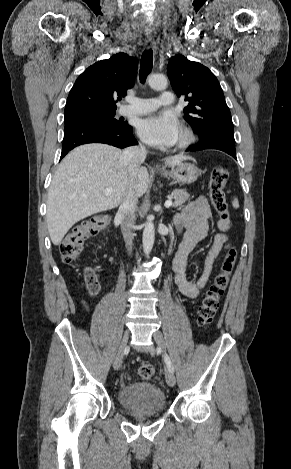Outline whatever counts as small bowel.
Listing matches in <instances>:
<instances>
[{
  "instance_id": "small-bowel-1",
  "label": "small bowel",
  "mask_w": 291,
  "mask_h": 469,
  "mask_svg": "<svg viewBox=\"0 0 291 469\" xmlns=\"http://www.w3.org/2000/svg\"><path fill=\"white\" fill-rule=\"evenodd\" d=\"M210 216L211 212L207 199L199 197L188 204L175 218L177 229L185 228L186 232L175 254L172 266L175 283L182 295L189 299L198 297L211 276L214 261L229 247L228 236L225 234L229 229V222L220 219L218 227L221 232L214 237L213 244L205 258L202 274L196 281L188 277V256L196 244L207 236ZM85 281L91 294H96L99 291V283L93 273L91 276L85 275Z\"/></svg>"
}]
</instances>
